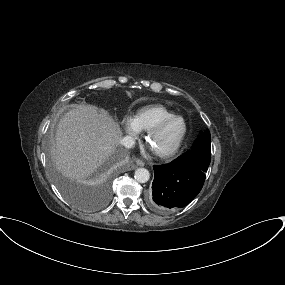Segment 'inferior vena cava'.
I'll return each instance as SVG.
<instances>
[{"instance_id":"inferior-vena-cava-1","label":"inferior vena cava","mask_w":285,"mask_h":285,"mask_svg":"<svg viewBox=\"0 0 285 285\" xmlns=\"http://www.w3.org/2000/svg\"><path fill=\"white\" fill-rule=\"evenodd\" d=\"M120 143L126 148H132L135 144V141L131 136H125L121 138Z\"/></svg>"}]
</instances>
